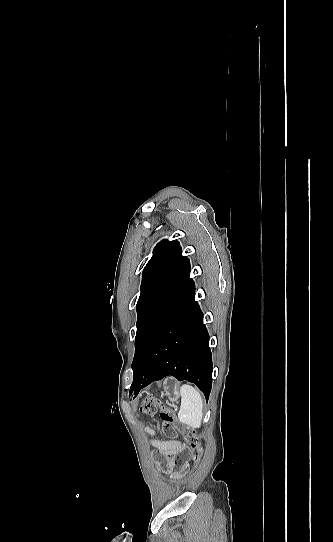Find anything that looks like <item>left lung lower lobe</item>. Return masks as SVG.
<instances>
[{"instance_id": "obj_1", "label": "left lung lower lobe", "mask_w": 333, "mask_h": 542, "mask_svg": "<svg viewBox=\"0 0 333 542\" xmlns=\"http://www.w3.org/2000/svg\"><path fill=\"white\" fill-rule=\"evenodd\" d=\"M212 355L195 288L152 340L142 366L134 375L132 393L166 376L195 383L208 399L212 387Z\"/></svg>"}]
</instances>
